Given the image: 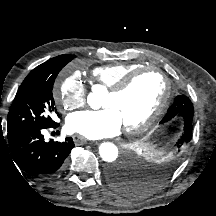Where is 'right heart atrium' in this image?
Wrapping results in <instances>:
<instances>
[{"label":"right heart atrium","mask_w":216,"mask_h":216,"mask_svg":"<svg viewBox=\"0 0 216 216\" xmlns=\"http://www.w3.org/2000/svg\"><path fill=\"white\" fill-rule=\"evenodd\" d=\"M87 88L76 75H70L62 80L54 91V99L64 109H76L84 106Z\"/></svg>","instance_id":"obj_1"}]
</instances>
